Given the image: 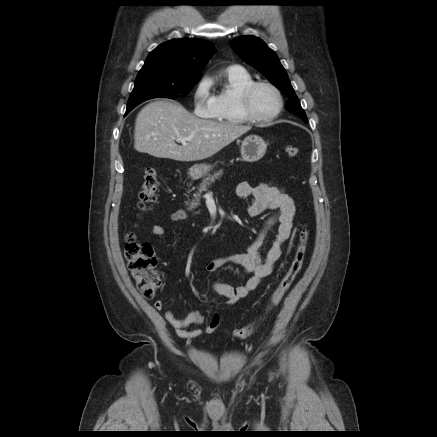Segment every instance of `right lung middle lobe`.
<instances>
[{
	"label": "right lung middle lobe",
	"mask_w": 437,
	"mask_h": 437,
	"mask_svg": "<svg viewBox=\"0 0 437 437\" xmlns=\"http://www.w3.org/2000/svg\"><path fill=\"white\" fill-rule=\"evenodd\" d=\"M199 80L200 78L178 77L162 70L139 72L127 103L125 115L148 99L184 97Z\"/></svg>",
	"instance_id": "dd1d6c3e"
}]
</instances>
